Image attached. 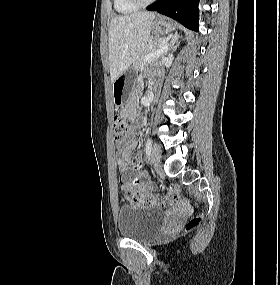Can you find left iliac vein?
I'll return each mask as SVG.
<instances>
[{
    "mask_svg": "<svg viewBox=\"0 0 280 285\" xmlns=\"http://www.w3.org/2000/svg\"><path fill=\"white\" fill-rule=\"evenodd\" d=\"M151 160L155 168L160 166L161 162V149L159 144L155 143L151 150Z\"/></svg>",
    "mask_w": 280,
    "mask_h": 285,
    "instance_id": "1",
    "label": "left iliac vein"
}]
</instances>
